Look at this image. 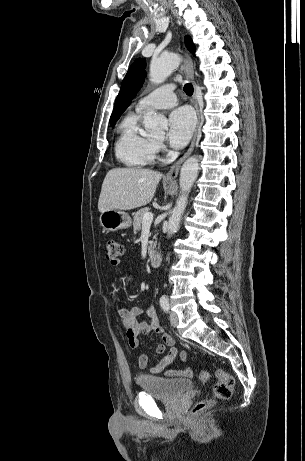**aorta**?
<instances>
[{"mask_svg": "<svg viewBox=\"0 0 305 461\" xmlns=\"http://www.w3.org/2000/svg\"><path fill=\"white\" fill-rule=\"evenodd\" d=\"M181 58L178 54L169 53L160 56L150 64V81L155 84L162 83L178 67ZM146 131L155 137L164 136L167 127V120L164 116L157 114L153 110L147 111L143 120ZM199 171V160L196 156L188 158L180 172V196L176 206L171 212L168 221V237H171L179 229V223L185 211L188 201V195L197 178Z\"/></svg>", "mask_w": 305, "mask_h": 461, "instance_id": "obj_1", "label": "aorta"}]
</instances>
